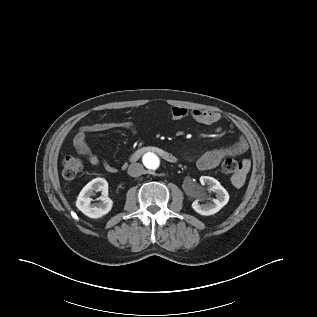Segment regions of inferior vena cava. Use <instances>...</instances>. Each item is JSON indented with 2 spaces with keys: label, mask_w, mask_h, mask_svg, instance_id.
<instances>
[{
  "label": "inferior vena cava",
  "mask_w": 317,
  "mask_h": 317,
  "mask_svg": "<svg viewBox=\"0 0 317 317\" xmlns=\"http://www.w3.org/2000/svg\"><path fill=\"white\" fill-rule=\"evenodd\" d=\"M144 172V167L140 163H132L128 167L127 173L132 177H138Z\"/></svg>",
  "instance_id": "1"
}]
</instances>
